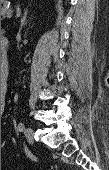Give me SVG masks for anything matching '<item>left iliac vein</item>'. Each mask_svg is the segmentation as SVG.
Wrapping results in <instances>:
<instances>
[{"mask_svg": "<svg viewBox=\"0 0 109 170\" xmlns=\"http://www.w3.org/2000/svg\"><path fill=\"white\" fill-rule=\"evenodd\" d=\"M24 133H25L27 141L30 144H33L34 143V132H33L32 128H30V127L26 128Z\"/></svg>", "mask_w": 109, "mask_h": 170, "instance_id": "left-iliac-vein-1", "label": "left iliac vein"}]
</instances>
